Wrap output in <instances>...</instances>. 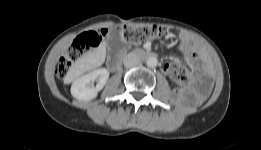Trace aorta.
Masks as SVG:
<instances>
[{
	"label": "aorta",
	"mask_w": 261,
	"mask_h": 150,
	"mask_svg": "<svg viewBox=\"0 0 261 150\" xmlns=\"http://www.w3.org/2000/svg\"><path fill=\"white\" fill-rule=\"evenodd\" d=\"M146 64H147L148 67L154 68V67L157 66L158 60H157L156 57L150 56V57L147 58Z\"/></svg>",
	"instance_id": "obj_1"
}]
</instances>
